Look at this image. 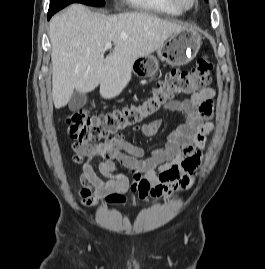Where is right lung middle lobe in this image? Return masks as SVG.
<instances>
[{
  "mask_svg": "<svg viewBox=\"0 0 265 269\" xmlns=\"http://www.w3.org/2000/svg\"><path fill=\"white\" fill-rule=\"evenodd\" d=\"M71 3H82L90 6H104V0H51L50 7H56L61 5H69Z\"/></svg>",
  "mask_w": 265,
  "mask_h": 269,
  "instance_id": "right-lung-middle-lobe-1",
  "label": "right lung middle lobe"
}]
</instances>
